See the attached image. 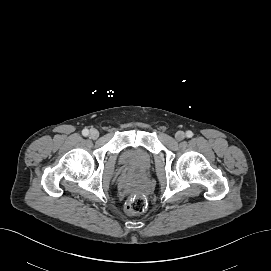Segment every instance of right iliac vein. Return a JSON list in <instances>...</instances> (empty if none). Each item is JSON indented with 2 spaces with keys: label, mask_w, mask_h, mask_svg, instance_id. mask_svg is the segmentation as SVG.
Masks as SVG:
<instances>
[{
  "label": "right iliac vein",
  "mask_w": 271,
  "mask_h": 271,
  "mask_svg": "<svg viewBox=\"0 0 271 271\" xmlns=\"http://www.w3.org/2000/svg\"><path fill=\"white\" fill-rule=\"evenodd\" d=\"M89 136L92 138V139H97L99 137V132L98 130L96 129H91L90 130V133H89Z\"/></svg>",
  "instance_id": "right-iliac-vein-1"
}]
</instances>
